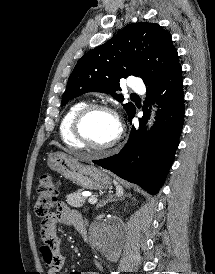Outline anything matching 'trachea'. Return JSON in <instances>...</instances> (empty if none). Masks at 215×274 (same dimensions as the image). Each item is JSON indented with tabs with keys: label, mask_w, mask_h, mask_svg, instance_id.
<instances>
[{
	"label": "trachea",
	"mask_w": 215,
	"mask_h": 274,
	"mask_svg": "<svg viewBox=\"0 0 215 274\" xmlns=\"http://www.w3.org/2000/svg\"><path fill=\"white\" fill-rule=\"evenodd\" d=\"M131 97H138V95L135 94V93H133V94L131 95Z\"/></svg>",
	"instance_id": "obj_1"
}]
</instances>
